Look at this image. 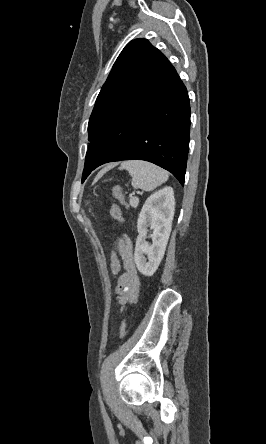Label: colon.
<instances>
[{
	"mask_svg": "<svg viewBox=\"0 0 266 444\" xmlns=\"http://www.w3.org/2000/svg\"><path fill=\"white\" fill-rule=\"evenodd\" d=\"M113 195L119 202H121L122 204H125L124 193H123L122 187H120V186L114 187ZM110 213H111L112 218L116 222L120 223L122 221L121 211L117 205H112ZM120 269H121V255H120L119 247H118V245H116L115 248L113 249V251L111 253V257H110V272H111L112 276L117 277L120 272ZM127 330H128V325H127L126 320H124L121 323L120 328H119V338L120 339H122L126 336Z\"/></svg>",
	"mask_w": 266,
	"mask_h": 444,
	"instance_id": "1",
	"label": "colon"
}]
</instances>
